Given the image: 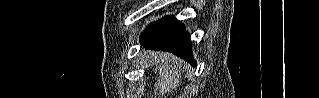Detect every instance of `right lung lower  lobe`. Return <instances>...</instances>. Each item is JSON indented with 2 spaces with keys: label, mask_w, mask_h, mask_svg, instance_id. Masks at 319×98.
<instances>
[{
  "label": "right lung lower lobe",
  "mask_w": 319,
  "mask_h": 98,
  "mask_svg": "<svg viewBox=\"0 0 319 98\" xmlns=\"http://www.w3.org/2000/svg\"><path fill=\"white\" fill-rule=\"evenodd\" d=\"M143 46L154 50H166L189 61L194 66L191 55V40L183 24L173 16L152 23L140 36Z\"/></svg>",
  "instance_id": "98d812e1"
}]
</instances>
